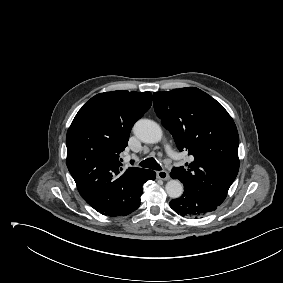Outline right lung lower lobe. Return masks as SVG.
<instances>
[{
  "label": "right lung lower lobe",
  "instance_id": "obj_1",
  "mask_svg": "<svg viewBox=\"0 0 283 283\" xmlns=\"http://www.w3.org/2000/svg\"><path fill=\"white\" fill-rule=\"evenodd\" d=\"M155 175H156L155 172L150 170L147 174L144 175V182H146L147 180H154ZM139 201H137V203L135 205H133L127 212L122 214V216H126V215L132 213L133 211H135L140 206Z\"/></svg>",
  "mask_w": 283,
  "mask_h": 283
}]
</instances>
